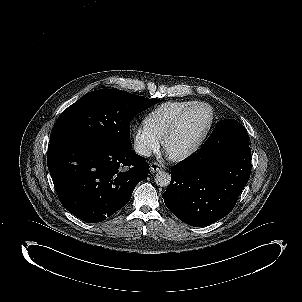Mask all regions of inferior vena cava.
I'll use <instances>...</instances> for the list:
<instances>
[{"instance_id": "602c4592", "label": "inferior vena cava", "mask_w": 302, "mask_h": 302, "mask_svg": "<svg viewBox=\"0 0 302 302\" xmlns=\"http://www.w3.org/2000/svg\"><path fill=\"white\" fill-rule=\"evenodd\" d=\"M135 152L145 156V157H150L152 155V151L150 148H148L147 146L143 145V144H136L134 146Z\"/></svg>"}]
</instances>
